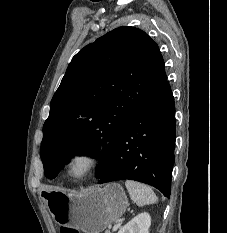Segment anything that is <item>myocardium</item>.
Returning a JSON list of instances; mask_svg holds the SVG:
<instances>
[{
  "mask_svg": "<svg viewBox=\"0 0 227 233\" xmlns=\"http://www.w3.org/2000/svg\"><path fill=\"white\" fill-rule=\"evenodd\" d=\"M80 160L86 163V168L81 174L76 175L73 173V166ZM100 163V158L96 153L90 150H79L68 158L66 171L71 179L80 181L90 177L98 169Z\"/></svg>",
  "mask_w": 227,
  "mask_h": 233,
  "instance_id": "myocardium-1",
  "label": "myocardium"
}]
</instances>
